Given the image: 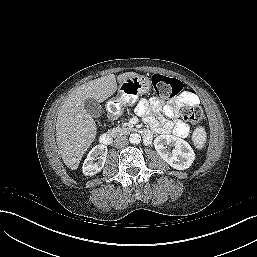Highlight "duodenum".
<instances>
[{"label":"duodenum","mask_w":257,"mask_h":257,"mask_svg":"<svg viewBox=\"0 0 257 257\" xmlns=\"http://www.w3.org/2000/svg\"><path fill=\"white\" fill-rule=\"evenodd\" d=\"M140 134L143 135V137L148 140L150 138V134L146 130H140ZM112 142V137L109 133H103L100 137V143L104 146L110 145Z\"/></svg>","instance_id":"obj_1"}]
</instances>
